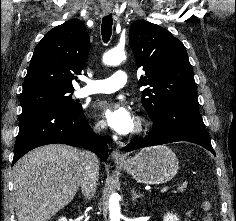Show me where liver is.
I'll return each instance as SVG.
<instances>
[{"instance_id":"1","label":"liver","mask_w":236,"mask_h":221,"mask_svg":"<svg viewBox=\"0 0 236 221\" xmlns=\"http://www.w3.org/2000/svg\"><path fill=\"white\" fill-rule=\"evenodd\" d=\"M82 151L62 144L36 148L13 168L18 221H48L76 195L82 177Z\"/></svg>"}]
</instances>
